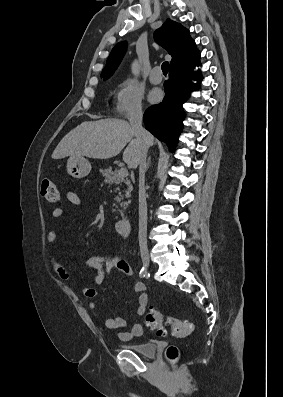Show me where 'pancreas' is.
<instances>
[{"mask_svg":"<svg viewBox=\"0 0 283 397\" xmlns=\"http://www.w3.org/2000/svg\"><path fill=\"white\" fill-rule=\"evenodd\" d=\"M102 174H103L105 183L109 184V186L113 185V184H121L123 182L126 185H128V190L125 191V194H122V192H120L119 186L116 188V191H118V195L115 197V200L120 202L124 197L129 198L131 196L132 185L130 183V180L119 177L117 169L113 171L112 168L109 167V168L103 170ZM128 204H129V201L120 203V205L123 206L124 209ZM120 213L122 216L124 215L123 211H120Z\"/></svg>","mask_w":283,"mask_h":397,"instance_id":"obj_1","label":"pancreas"}]
</instances>
